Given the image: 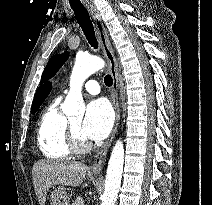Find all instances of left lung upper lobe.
Instances as JSON below:
<instances>
[{"label": "left lung upper lobe", "instance_id": "5c2ea615", "mask_svg": "<svg viewBox=\"0 0 212 205\" xmlns=\"http://www.w3.org/2000/svg\"><path fill=\"white\" fill-rule=\"evenodd\" d=\"M69 56L68 52H64L63 54L54 55L47 63L41 78V82L43 83L48 78L54 76L62 64L67 60Z\"/></svg>", "mask_w": 212, "mask_h": 205}]
</instances>
